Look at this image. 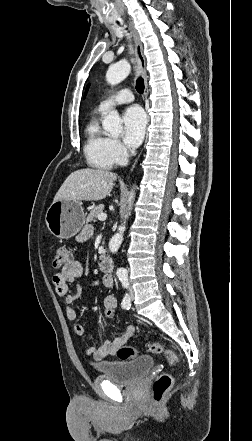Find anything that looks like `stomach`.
<instances>
[{
	"label": "stomach",
	"instance_id": "1",
	"mask_svg": "<svg viewBox=\"0 0 252 441\" xmlns=\"http://www.w3.org/2000/svg\"><path fill=\"white\" fill-rule=\"evenodd\" d=\"M48 230L57 238L75 236L85 223V214L80 201H53L45 216Z\"/></svg>",
	"mask_w": 252,
	"mask_h": 441
}]
</instances>
